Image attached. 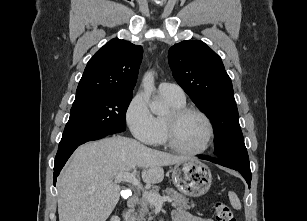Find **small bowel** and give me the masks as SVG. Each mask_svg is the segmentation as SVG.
I'll return each mask as SVG.
<instances>
[{
    "instance_id": "small-bowel-1",
    "label": "small bowel",
    "mask_w": 307,
    "mask_h": 221,
    "mask_svg": "<svg viewBox=\"0 0 307 221\" xmlns=\"http://www.w3.org/2000/svg\"><path fill=\"white\" fill-rule=\"evenodd\" d=\"M173 221H213L212 219H207L198 215H193L185 209H175L172 212Z\"/></svg>"
}]
</instances>
